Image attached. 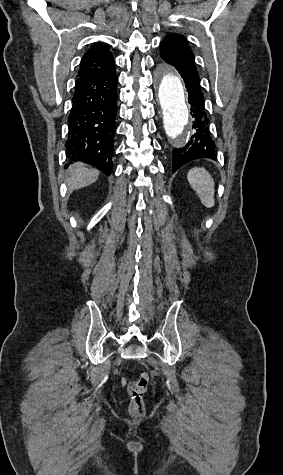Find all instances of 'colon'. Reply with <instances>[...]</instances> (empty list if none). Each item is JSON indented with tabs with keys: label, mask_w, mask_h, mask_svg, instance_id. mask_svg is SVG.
Segmentation results:
<instances>
[{
	"label": "colon",
	"mask_w": 283,
	"mask_h": 475,
	"mask_svg": "<svg viewBox=\"0 0 283 475\" xmlns=\"http://www.w3.org/2000/svg\"><path fill=\"white\" fill-rule=\"evenodd\" d=\"M151 375L149 372H143L134 382H126L131 393L129 408L132 414L142 415L145 408V394L149 386Z\"/></svg>",
	"instance_id": "5ec220e1"
}]
</instances>
